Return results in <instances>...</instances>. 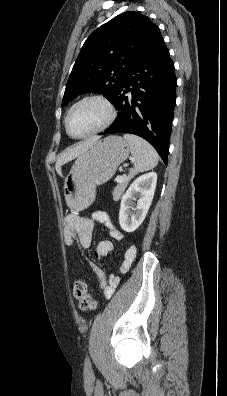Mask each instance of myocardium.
Here are the masks:
<instances>
[{"label":"myocardium","instance_id":"f54148a6","mask_svg":"<svg viewBox=\"0 0 227 396\" xmlns=\"http://www.w3.org/2000/svg\"><path fill=\"white\" fill-rule=\"evenodd\" d=\"M89 101H97L99 103H101L106 111H107V117L104 120L103 123H101L98 127H96L95 129H93L92 131L81 135V136H75L70 132L69 126H68V119L69 116L71 114V112L78 107L79 105L89 102ZM117 117V110L114 106V104L111 102V100L109 98H107L106 96L102 95V94H98V93H93V94H87L81 98H79L78 100H76L67 110L65 118H64V126H65V130L67 132V134L73 138V139H85L91 136H94L104 130H106L107 128H109L114 121L116 120Z\"/></svg>","mask_w":227,"mask_h":396}]
</instances>
